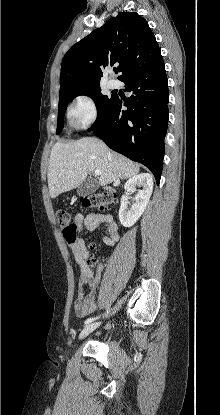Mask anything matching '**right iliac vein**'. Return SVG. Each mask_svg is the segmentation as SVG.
Returning a JSON list of instances; mask_svg holds the SVG:
<instances>
[{"mask_svg": "<svg viewBox=\"0 0 220 415\" xmlns=\"http://www.w3.org/2000/svg\"><path fill=\"white\" fill-rule=\"evenodd\" d=\"M100 322L92 323L87 326H85L82 331L79 334V339H84L86 336H88L90 333H92L96 328L100 326Z\"/></svg>", "mask_w": 220, "mask_h": 415, "instance_id": "1", "label": "right iliac vein"}]
</instances>
